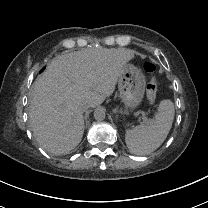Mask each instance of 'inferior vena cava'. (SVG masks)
<instances>
[{"mask_svg":"<svg viewBox=\"0 0 208 208\" xmlns=\"http://www.w3.org/2000/svg\"><path fill=\"white\" fill-rule=\"evenodd\" d=\"M89 108V104L87 102H81L79 104V110L81 112H85Z\"/></svg>","mask_w":208,"mask_h":208,"instance_id":"602c4592","label":"inferior vena cava"}]
</instances>
